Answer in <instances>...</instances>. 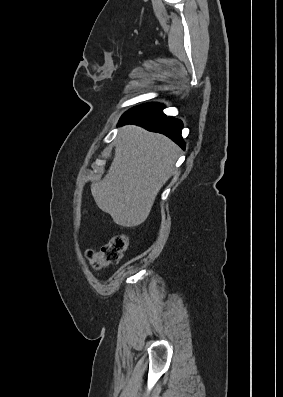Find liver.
<instances>
[{"mask_svg":"<svg viewBox=\"0 0 283 397\" xmlns=\"http://www.w3.org/2000/svg\"><path fill=\"white\" fill-rule=\"evenodd\" d=\"M179 148L169 138L137 126L121 128L106 176L91 185L97 206L123 227L142 224L174 171Z\"/></svg>","mask_w":283,"mask_h":397,"instance_id":"6515ba94","label":"liver"}]
</instances>
